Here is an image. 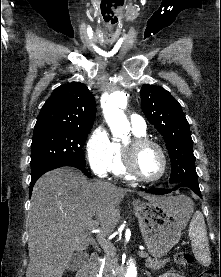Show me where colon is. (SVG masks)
<instances>
[{
    "label": "colon",
    "mask_w": 221,
    "mask_h": 277,
    "mask_svg": "<svg viewBox=\"0 0 221 277\" xmlns=\"http://www.w3.org/2000/svg\"><path fill=\"white\" fill-rule=\"evenodd\" d=\"M175 262L179 267L187 268L193 264L194 258L190 253L180 251L175 255ZM199 277H216V274L213 270L208 269L201 272Z\"/></svg>",
    "instance_id": "colon-1"
}]
</instances>
